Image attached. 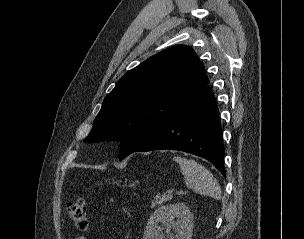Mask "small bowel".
<instances>
[{
  "instance_id": "1",
  "label": "small bowel",
  "mask_w": 304,
  "mask_h": 239,
  "mask_svg": "<svg viewBox=\"0 0 304 239\" xmlns=\"http://www.w3.org/2000/svg\"><path fill=\"white\" fill-rule=\"evenodd\" d=\"M77 239H87L85 236H79Z\"/></svg>"
}]
</instances>
